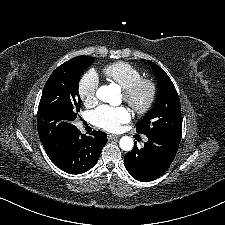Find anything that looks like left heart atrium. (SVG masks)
<instances>
[{"label": "left heart atrium", "instance_id": "left-heart-atrium-1", "mask_svg": "<svg viewBox=\"0 0 225 225\" xmlns=\"http://www.w3.org/2000/svg\"><path fill=\"white\" fill-rule=\"evenodd\" d=\"M93 123L109 132H117L121 125L130 121L131 112L126 107L102 105L92 112Z\"/></svg>", "mask_w": 225, "mask_h": 225}]
</instances>
